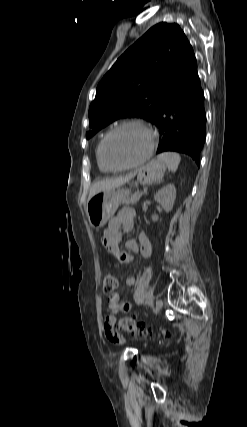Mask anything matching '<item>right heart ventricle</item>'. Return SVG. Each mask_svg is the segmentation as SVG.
<instances>
[{"instance_id": "right-heart-ventricle-1", "label": "right heart ventricle", "mask_w": 247, "mask_h": 427, "mask_svg": "<svg viewBox=\"0 0 247 427\" xmlns=\"http://www.w3.org/2000/svg\"><path fill=\"white\" fill-rule=\"evenodd\" d=\"M102 139H103V137L100 139V141L98 142V144L96 146V151H95L96 161H97V165H98L99 170L101 172L108 173V172H110V170L104 165V163L101 159V154H100Z\"/></svg>"}]
</instances>
